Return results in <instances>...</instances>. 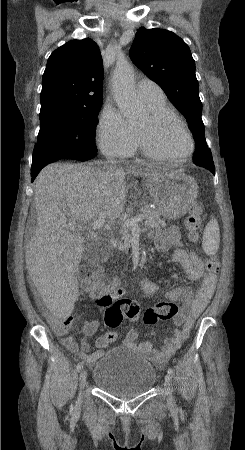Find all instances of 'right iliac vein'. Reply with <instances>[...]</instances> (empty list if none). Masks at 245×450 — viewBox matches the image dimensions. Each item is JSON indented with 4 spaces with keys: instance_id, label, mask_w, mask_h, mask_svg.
<instances>
[{
    "instance_id": "right-iliac-vein-1",
    "label": "right iliac vein",
    "mask_w": 245,
    "mask_h": 450,
    "mask_svg": "<svg viewBox=\"0 0 245 450\" xmlns=\"http://www.w3.org/2000/svg\"><path fill=\"white\" fill-rule=\"evenodd\" d=\"M87 383V372L86 370H81L79 375V387H80V399L83 397V392Z\"/></svg>"
}]
</instances>
